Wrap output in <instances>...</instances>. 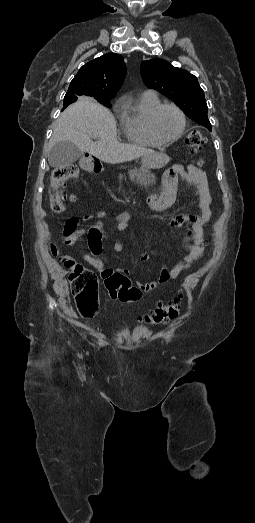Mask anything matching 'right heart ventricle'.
Wrapping results in <instances>:
<instances>
[{
    "label": "right heart ventricle",
    "mask_w": 255,
    "mask_h": 523,
    "mask_svg": "<svg viewBox=\"0 0 255 523\" xmlns=\"http://www.w3.org/2000/svg\"><path fill=\"white\" fill-rule=\"evenodd\" d=\"M159 104H161V100L157 92L147 89L140 94L137 100L124 105L118 118V125L128 143L140 146L160 144L151 135L148 126L150 114Z\"/></svg>",
    "instance_id": "1"
}]
</instances>
